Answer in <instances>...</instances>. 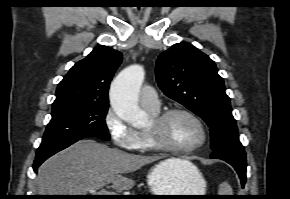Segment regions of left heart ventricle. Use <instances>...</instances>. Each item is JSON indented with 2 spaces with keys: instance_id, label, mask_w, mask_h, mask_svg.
Here are the masks:
<instances>
[{
  "instance_id": "1",
  "label": "left heart ventricle",
  "mask_w": 290,
  "mask_h": 199,
  "mask_svg": "<svg viewBox=\"0 0 290 199\" xmlns=\"http://www.w3.org/2000/svg\"><path fill=\"white\" fill-rule=\"evenodd\" d=\"M153 125L152 120L148 129H151ZM161 137L171 146L187 148L200 141L201 131L196 122L188 116L174 114L165 123Z\"/></svg>"
}]
</instances>
